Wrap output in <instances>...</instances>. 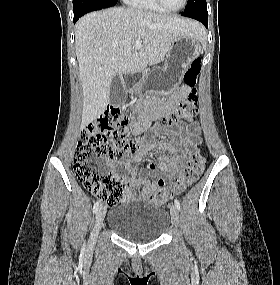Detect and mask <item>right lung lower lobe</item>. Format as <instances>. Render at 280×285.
<instances>
[{
	"mask_svg": "<svg viewBox=\"0 0 280 285\" xmlns=\"http://www.w3.org/2000/svg\"><path fill=\"white\" fill-rule=\"evenodd\" d=\"M102 9V8H101ZM85 13L87 12H81V13H77V14H74V23L82 16L84 15Z\"/></svg>",
	"mask_w": 280,
	"mask_h": 285,
	"instance_id": "right-lung-lower-lobe-1",
	"label": "right lung lower lobe"
}]
</instances>
